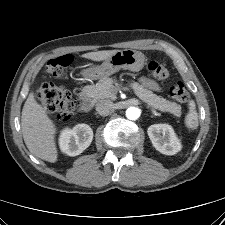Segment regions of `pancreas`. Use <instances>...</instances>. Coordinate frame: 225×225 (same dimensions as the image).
<instances>
[{"instance_id":"1","label":"pancreas","mask_w":225,"mask_h":225,"mask_svg":"<svg viewBox=\"0 0 225 225\" xmlns=\"http://www.w3.org/2000/svg\"><path fill=\"white\" fill-rule=\"evenodd\" d=\"M120 86L121 84L118 83L116 78L105 77L99 80L94 86H86L83 91L93 100H115ZM129 86L133 89L135 95L143 102L147 103L148 106L163 112H169L176 117L181 116V106L179 104L154 94L152 91L144 88L137 82L131 81Z\"/></svg>"}]
</instances>
